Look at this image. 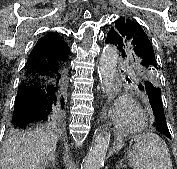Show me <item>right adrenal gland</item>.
I'll return each mask as SVG.
<instances>
[{
	"instance_id": "obj_1",
	"label": "right adrenal gland",
	"mask_w": 177,
	"mask_h": 169,
	"mask_svg": "<svg viewBox=\"0 0 177 169\" xmlns=\"http://www.w3.org/2000/svg\"><path fill=\"white\" fill-rule=\"evenodd\" d=\"M53 157H55V154L53 155ZM47 166H53V167H56L55 165V159H53L51 162H49V164ZM46 166V167H47ZM46 167L44 169H46Z\"/></svg>"
}]
</instances>
